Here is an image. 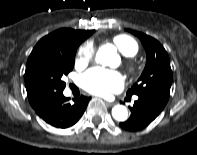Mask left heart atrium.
<instances>
[{"label": "left heart atrium", "instance_id": "1", "mask_svg": "<svg viewBox=\"0 0 197 155\" xmlns=\"http://www.w3.org/2000/svg\"><path fill=\"white\" fill-rule=\"evenodd\" d=\"M82 87L99 96H107L123 88V77L116 71L95 67L88 70L81 77Z\"/></svg>", "mask_w": 197, "mask_h": 155}]
</instances>
